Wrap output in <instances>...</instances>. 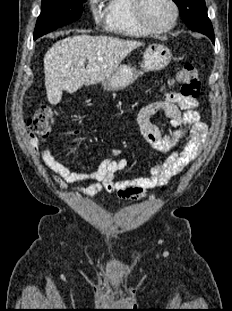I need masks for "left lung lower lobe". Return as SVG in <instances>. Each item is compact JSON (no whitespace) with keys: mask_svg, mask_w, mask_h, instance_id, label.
<instances>
[{"mask_svg":"<svg viewBox=\"0 0 232 311\" xmlns=\"http://www.w3.org/2000/svg\"><path fill=\"white\" fill-rule=\"evenodd\" d=\"M194 31L200 32L208 36L213 43H215L214 32L211 22L209 21L206 26L200 27Z\"/></svg>","mask_w":232,"mask_h":311,"instance_id":"obj_1","label":"left lung lower lobe"}]
</instances>
